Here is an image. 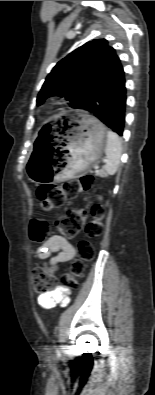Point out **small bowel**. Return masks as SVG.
I'll use <instances>...</instances> for the list:
<instances>
[{"mask_svg":"<svg viewBox=\"0 0 155 395\" xmlns=\"http://www.w3.org/2000/svg\"><path fill=\"white\" fill-rule=\"evenodd\" d=\"M76 255L75 247L63 236L49 237L38 249L40 260L48 259L51 265L72 260ZM38 305L44 309H51L57 305L65 306L69 302V289L57 286L49 292L42 293L37 299Z\"/></svg>","mask_w":155,"mask_h":395,"instance_id":"obj_1","label":"small bowel"}]
</instances>
